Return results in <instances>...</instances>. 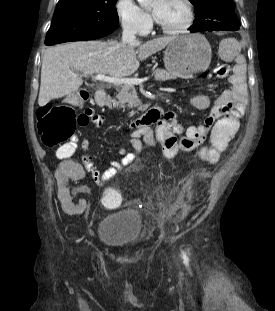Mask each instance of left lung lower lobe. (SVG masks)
<instances>
[{"label":"left lung lower lobe","instance_id":"obj_1","mask_svg":"<svg viewBox=\"0 0 275 311\" xmlns=\"http://www.w3.org/2000/svg\"><path fill=\"white\" fill-rule=\"evenodd\" d=\"M205 31H220V30H205ZM191 32H198V31L191 28Z\"/></svg>","mask_w":275,"mask_h":311}]
</instances>
